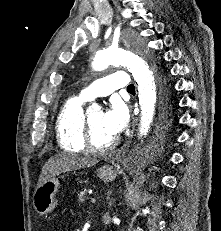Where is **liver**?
<instances>
[{"mask_svg":"<svg viewBox=\"0 0 221 231\" xmlns=\"http://www.w3.org/2000/svg\"><path fill=\"white\" fill-rule=\"evenodd\" d=\"M98 160L73 154H58L51 157L43 166L37 186L63 172L93 166Z\"/></svg>","mask_w":221,"mask_h":231,"instance_id":"6515ba94","label":"liver"}]
</instances>
